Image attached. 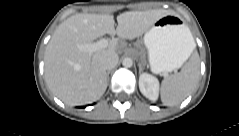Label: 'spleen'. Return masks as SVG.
Segmentation results:
<instances>
[{"label": "spleen", "instance_id": "obj_1", "mask_svg": "<svg viewBox=\"0 0 239 136\" xmlns=\"http://www.w3.org/2000/svg\"><path fill=\"white\" fill-rule=\"evenodd\" d=\"M190 42L193 51L196 45L192 36L190 37ZM199 75L200 61L195 54L179 73L163 79L160 91L162 103L170 106L181 103L196 88Z\"/></svg>", "mask_w": 239, "mask_h": 136}]
</instances>
